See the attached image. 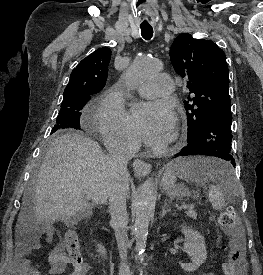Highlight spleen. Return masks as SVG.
<instances>
[{
	"label": "spleen",
	"instance_id": "obj_1",
	"mask_svg": "<svg viewBox=\"0 0 263 275\" xmlns=\"http://www.w3.org/2000/svg\"><path fill=\"white\" fill-rule=\"evenodd\" d=\"M180 179L205 186L212 184L208 190V199L213 209L221 210L225 197L236 195L239 183L229 162L207 157L180 158L170 164Z\"/></svg>",
	"mask_w": 263,
	"mask_h": 275
}]
</instances>
